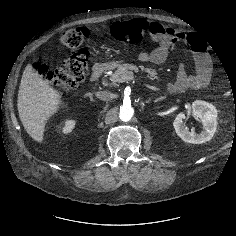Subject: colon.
I'll list each match as a JSON object with an SVG mask.
<instances>
[{
	"label": "colon",
	"mask_w": 236,
	"mask_h": 236,
	"mask_svg": "<svg viewBox=\"0 0 236 236\" xmlns=\"http://www.w3.org/2000/svg\"><path fill=\"white\" fill-rule=\"evenodd\" d=\"M149 30V24L143 19L116 22L110 29L109 34L114 40L127 43L139 44ZM90 33L84 27L72 28L61 34V42L74 52L56 69L52 70L46 65L37 64L38 73L51 85L68 92L76 89L84 80L87 72L89 52L85 43ZM227 89L233 88L232 82L226 83Z\"/></svg>",
	"instance_id": "colon-1"
}]
</instances>
